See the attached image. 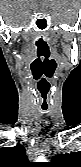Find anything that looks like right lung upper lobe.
<instances>
[{
    "instance_id": "right-lung-upper-lobe-1",
    "label": "right lung upper lobe",
    "mask_w": 81,
    "mask_h": 167,
    "mask_svg": "<svg viewBox=\"0 0 81 167\" xmlns=\"http://www.w3.org/2000/svg\"><path fill=\"white\" fill-rule=\"evenodd\" d=\"M25 155V148L21 144L15 147L0 148V167H31Z\"/></svg>"
}]
</instances>
